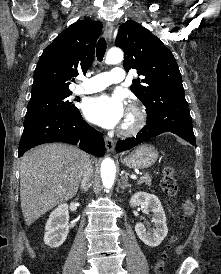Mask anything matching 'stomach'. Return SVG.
Instances as JSON below:
<instances>
[{"label": "stomach", "mask_w": 221, "mask_h": 274, "mask_svg": "<svg viewBox=\"0 0 221 274\" xmlns=\"http://www.w3.org/2000/svg\"><path fill=\"white\" fill-rule=\"evenodd\" d=\"M158 159L155 147L144 144L137 147L131 154L123 159V163L131 168L145 169L152 166Z\"/></svg>", "instance_id": "obj_1"}]
</instances>
